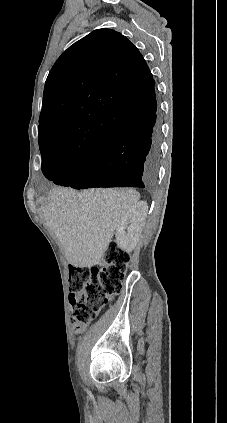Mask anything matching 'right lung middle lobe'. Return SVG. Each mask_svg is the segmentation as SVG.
I'll return each instance as SVG.
<instances>
[{
    "mask_svg": "<svg viewBox=\"0 0 227 423\" xmlns=\"http://www.w3.org/2000/svg\"><path fill=\"white\" fill-rule=\"evenodd\" d=\"M42 164L75 160L86 153V150L67 147L55 141H39Z\"/></svg>",
    "mask_w": 227,
    "mask_h": 423,
    "instance_id": "right-lung-middle-lobe-1",
    "label": "right lung middle lobe"
}]
</instances>
